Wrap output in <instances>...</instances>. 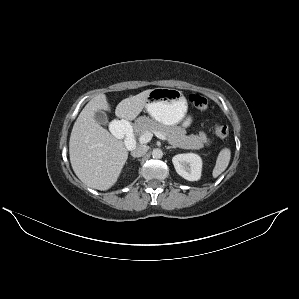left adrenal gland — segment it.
Segmentation results:
<instances>
[{
	"label": "left adrenal gland",
	"mask_w": 299,
	"mask_h": 299,
	"mask_svg": "<svg viewBox=\"0 0 299 299\" xmlns=\"http://www.w3.org/2000/svg\"><path fill=\"white\" fill-rule=\"evenodd\" d=\"M175 148L174 146H167L166 149Z\"/></svg>",
	"instance_id": "left-adrenal-gland-1"
}]
</instances>
